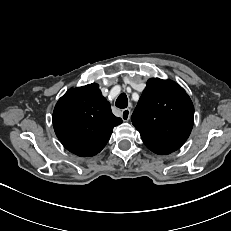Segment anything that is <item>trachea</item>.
<instances>
[{
  "mask_svg": "<svg viewBox=\"0 0 231 231\" xmlns=\"http://www.w3.org/2000/svg\"><path fill=\"white\" fill-rule=\"evenodd\" d=\"M116 107L120 108V109H124L127 107L128 105V99L125 93H122L119 95V97L116 100L115 103Z\"/></svg>",
  "mask_w": 231,
  "mask_h": 231,
  "instance_id": "trachea-1",
  "label": "trachea"
}]
</instances>
